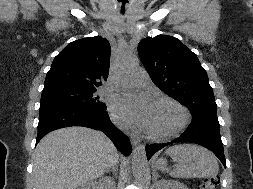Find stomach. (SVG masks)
<instances>
[{"label":"stomach","mask_w":253,"mask_h":189,"mask_svg":"<svg viewBox=\"0 0 253 189\" xmlns=\"http://www.w3.org/2000/svg\"><path fill=\"white\" fill-rule=\"evenodd\" d=\"M166 164H167V160L164 159V158H160V159L155 161V167L158 168V169L165 168Z\"/></svg>","instance_id":"obj_1"}]
</instances>
